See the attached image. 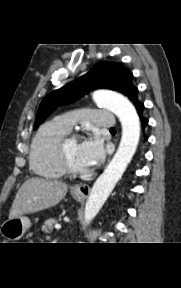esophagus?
I'll return each instance as SVG.
<instances>
[{
	"instance_id": "obj_1",
	"label": "esophagus",
	"mask_w": 181,
	"mask_h": 288,
	"mask_svg": "<svg viewBox=\"0 0 181 288\" xmlns=\"http://www.w3.org/2000/svg\"><path fill=\"white\" fill-rule=\"evenodd\" d=\"M71 190L76 195L86 197L90 193V186L85 183H80V184L74 185Z\"/></svg>"
}]
</instances>
